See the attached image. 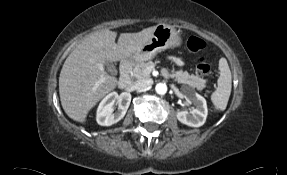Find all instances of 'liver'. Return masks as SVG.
<instances>
[{
    "instance_id": "6515ba94",
    "label": "liver",
    "mask_w": 287,
    "mask_h": 175,
    "mask_svg": "<svg viewBox=\"0 0 287 175\" xmlns=\"http://www.w3.org/2000/svg\"><path fill=\"white\" fill-rule=\"evenodd\" d=\"M155 26L138 33L102 30L88 35L67 57L60 72L59 95L65 113L85 122L88 112L118 84L104 64L132 58L151 38Z\"/></svg>"
}]
</instances>
